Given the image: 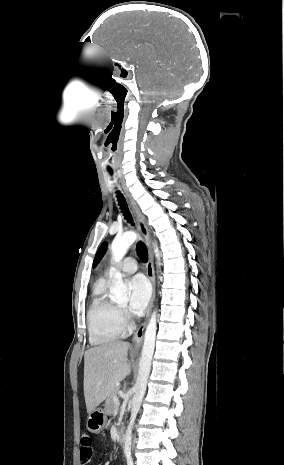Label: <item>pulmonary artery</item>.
Segmentation results:
<instances>
[{
	"label": "pulmonary artery",
	"instance_id": "obj_1",
	"mask_svg": "<svg viewBox=\"0 0 284 465\" xmlns=\"http://www.w3.org/2000/svg\"><path fill=\"white\" fill-rule=\"evenodd\" d=\"M138 268L137 262L133 257H127L125 262L120 265V272L124 275L133 274ZM105 275L107 277L111 276V271L108 270Z\"/></svg>",
	"mask_w": 284,
	"mask_h": 465
}]
</instances>
